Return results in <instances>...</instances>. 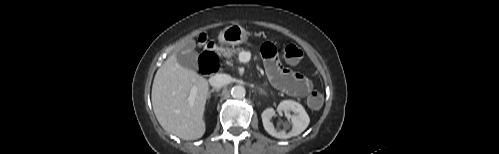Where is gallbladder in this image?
<instances>
[{
	"label": "gallbladder",
	"instance_id": "1",
	"mask_svg": "<svg viewBox=\"0 0 499 154\" xmlns=\"http://www.w3.org/2000/svg\"><path fill=\"white\" fill-rule=\"evenodd\" d=\"M196 42L192 39L188 40L185 44V50L176 54L178 63L191 70L198 69V53L194 50Z\"/></svg>",
	"mask_w": 499,
	"mask_h": 154
}]
</instances>
